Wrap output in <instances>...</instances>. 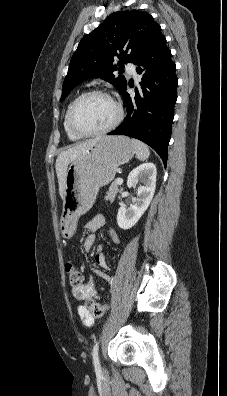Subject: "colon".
Here are the masks:
<instances>
[{
  "instance_id": "obj_1",
  "label": "colon",
  "mask_w": 227,
  "mask_h": 396,
  "mask_svg": "<svg viewBox=\"0 0 227 396\" xmlns=\"http://www.w3.org/2000/svg\"><path fill=\"white\" fill-rule=\"evenodd\" d=\"M66 272L69 277V282L73 288H77L82 285L83 276L79 270H77L71 263L66 264ZM85 307L92 313L94 317L103 316L108 310L107 305L99 304L92 299L85 301Z\"/></svg>"
}]
</instances>
